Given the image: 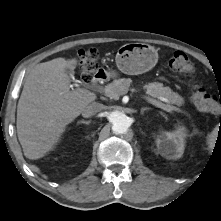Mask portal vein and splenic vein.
Masks as SVG:
<instances>
[{
    "mask_svg": "<svg viewBox=\"0 0 221 221\" xmlns=\"http://www.w3.org/2000/svg\"><path fill=\"white\" fill-rule=\"evenodd\" d=\"M109 92H110V89L107 88V89L105 90V93H109ZM144 98H145V100H146L148 103H150V104H152V105H154V106H156V107H158V108H161V109L164 110V111L172 112V111L174 110L173 107L170 106V105L163 104L162 102L157 101V100L152 99V98L147 97V96H145ZM162 101L168 102V100H167V99H164V98L162 99Z\"/></svg>",
    "mask_w": 221,
    "mask_h": 221,
    "instance_id": "portal-vein-and-splenic-vein-1",
    "label": "portal vein and splenic vein"
}]
</instances>
